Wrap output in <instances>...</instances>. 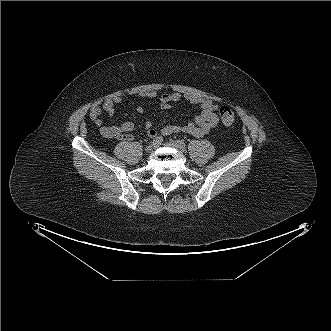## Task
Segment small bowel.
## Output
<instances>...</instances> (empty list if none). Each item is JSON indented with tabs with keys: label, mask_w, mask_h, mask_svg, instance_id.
Masks as SVG:
<instances>
[{
	"label": "small bowel",
	"mask_w": 331,
	"mask_h": 331,
	"mask_svg": "<svg viewBox=\"0 0 331 331\" xmlns=\"http://www.w3.org/2000/svg\"><path fill=\"white\" fill-rule=\"evenodd\" d=\"M136 97L138 99L158 98L159 107L163 110L171 109L172 104L179 102L182 98L181 94L177 92H164L159 94L156 91L141 92ZM183 98L188 103L198 105L201 108V112L194 117L193 121L188 122L185 125L169 124L158 131L153 126L152 121L147 119L144 127L148 136L156 138L159 134L171 135L175 133H186L194 137H203L209 134L217 126L218 116L216 111L218 105L215 102L191 94H186ZM122 99V96L115 95L96 103L90 111V118L96 126L101 128V134L104 137L132 140L133 136L130 133L134 130L133 122L125 121L118 126H103V120L100 117L102 112H105L109 117H112L114 115L115 105L120 103ZM136 111L139 114H145V109L142 106H137Z\"/></svg>",
	"instance_id": "1"
}]
</instances>
